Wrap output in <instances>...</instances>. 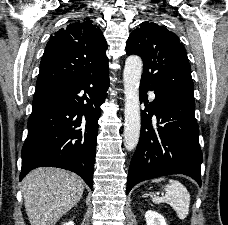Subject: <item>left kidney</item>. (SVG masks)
<instances>
[{
    "mask_svg": "<svg viewBox=\"0 0 228 225\" xmlns=\"http://www.w3.org/2000/svg\"><path fill=\"white\" fill-rule=\"evenodd\" d=\"M145 219L146 225H166L164 217L156 213V211H146Z\"/></svg>",
    "mask_w": 228,
    "mask_h": 225,
    "instance_id": "1",
    "label": "left kidney"
}]
</instances>
